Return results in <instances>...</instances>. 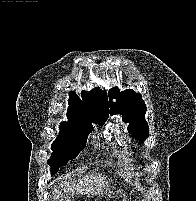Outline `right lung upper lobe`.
Masks as SVG:
<instances>
[{
  "instance_id": "cb5924a9",
  "label": "right lung upper lobe",
  "mask_w": 196,
  "mask_h": 201,
  "mask_svg": "<svg viewBox=\"0 0 196 201\" xmlns=\"http://www.w3.org/2000/svg\"><path fill=\"white\" fill-rule=\"evenodd\" d=\"M81 96L82 100L75 92H69L67 115L75 114L90 118L108 117L107 95L104 91L100 88L90 92L82 91Z\"/></svg>"
}]
</instances>
